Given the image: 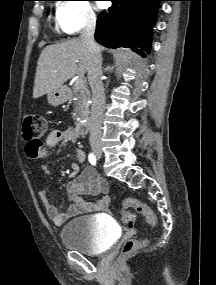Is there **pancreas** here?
<instances>
[{
    "instance_id": "cf45deb5",
    "label": "pancreas",
    "mask_w": 216,
    "mask_h": 285,
    "mask_svg": "<svg viewBox=\"0 0 216 285\" xmlns=\"http://www.w3.org/2000/svg\"><path fill=\"white\" fill-rule=\"evenodd\" d=\"M71 96L75 104L74 120L86 118L89 114V93L87 86L85 84L81 87L74 85L72 87Z\"/></svg>"
}]
</instances>
